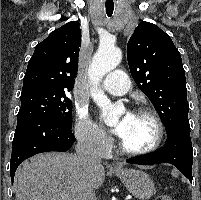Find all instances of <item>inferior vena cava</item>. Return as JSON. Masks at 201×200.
Segmentation results:
<instances>
[{
  "label": "inferior vena cava",
  "instance_id": "1",
  "mask_svg": "<svg viewBox=\"0 0 201 200\" xmlns=\"http://www.w3.org/2000/svg\"><path fill=\"white\" fill-rule=\"evenodd\" d=\"M75 150L77 167L84 172L100 164L101 159L90 140L80 138ZM79 200H96L94 188L88 180H84L81 184Z\"/></svg>",
  "mask_w": 201,
  "mask_h": 200
}]
</instances>
